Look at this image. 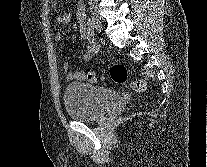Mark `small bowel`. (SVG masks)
Returning <instances> with one entry per match:
<instances>
[{
	"instance_id": "small-bowel-1",
	"label": "small bowel",
	"mask_w": 207,
	"mask_h": 167,
	"mask_svg": "<svg viewBox=\"0 0 207 167\" xmlns=\"http://www.w3.org/2000/svg\"><path fill=\"white\" fill-rule=\"evenodd\" d=\"M53 2L56 4L57 0H53ZM71 17L72 16L70 13H61L56 16L55 22L59 25H65L70 22ZM77 21L79 25V33H80L81 39L86 40L88 42L87 49L84 52L82 58L85 61H89L96 54L98 50V44L93 39V35L91 36V34L87 30V27L85 26L84 7L81 3L79 4L78 9H77ZM55 37H56V40L59 42H61L63 39L60 33H57ZM63 71H64L65 78L67 81H74V80L82 81L86 79V75L82 71L71 72L69 69V63L67 61L63 63Z\"/></svg>"
}]
</instances>
